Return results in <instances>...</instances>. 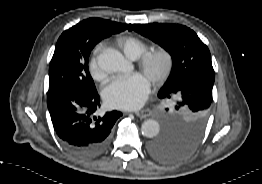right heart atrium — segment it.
Listing matches in <instances>:
<instances>
[{
	"instance_id": "obj_1",
	"label": "right heart atrium",
	"mask_w": 262,
	"mask_h": 184,
	"mask_svg": "<svg viewBox=\"0 0 262 184\" xmlns=\"http://www.w3.org/2000/svg\"><path fill=\"white\" fill-rule=\"evenodd\" d=\"M90 73L94 80L105 83L110 77V70L103 58L94 57L90 64Z\"/></svg>"
}]
</instances>
